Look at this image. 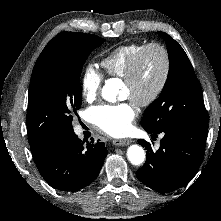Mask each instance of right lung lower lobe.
<instances>
[{
    "label": "right lung lower lobe",
    "mask_w": 221,
    "mask_h": 221,
    "mask_svg": "<svg viewBox=\"0 0 221 221\" xmlns=\"http://www.w3.org/2000/svg\"><path fill=\"white\" fill-rule=\"evenodd\" d=\"M107 155L104 142L80 140L69 132L56 138L35 160L44 180L61 191H78L97 177Z\"/></svg>",
    "instance_id": "obj_1"
}]
</instances>
